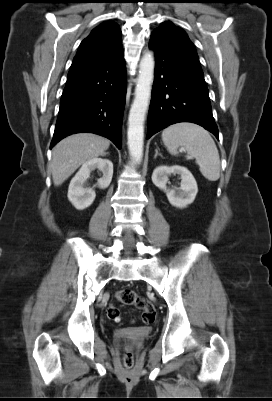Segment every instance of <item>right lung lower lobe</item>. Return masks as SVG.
<instances>
[{
	"mask_svg": "<svg viewBox=\"0 0 272 401\" xmlns=\"http://www.w3.org/2000/svg\"><path fill=\"white\" fill-rule=\"evenodd\" d=\"M125 96L123 49L99 65L67 78L50 148L68 135L90 132L110 139L120 149Z\"/></svg>",
	"mask_w": 272,
	"mask_h": 401,
	"instance_id": "right-lung-lower-lobe-1",
	"label": "right lung lower lobe"
}]
</instances>
